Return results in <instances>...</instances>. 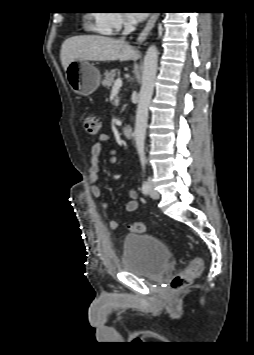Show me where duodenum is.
Here are the masks:
<instances>
[{
    "mask_svg": "<svg viewBox=\"0 0 254 355\" xmlns=\"http://www.w3.org/2000/svg\"><path fill=\"white\" fill-rule=\"evenodd\" d=\"M123 134L127 138H131L133 136V126L130 124H125L122 128Z\"/></svg>",
    "mask_w": 254,
    "mask_h": 355,
    "instance_id": "410a0bca",
    "label": "duodenum"
}]
</instances>
